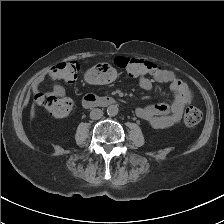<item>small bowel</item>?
Listing matches in <instances>:
<instances>
[{
  "label": "small bowel",
  "mask_w": 224,
  "mask_h": 224,
  "mask_svg": "<svg viewBox=\"0 0 224 224\" xmlns=\"http://www.w3.org/2000/svg\"><path fill=\"white\" fill-rule=\"evenodd\" d=\"M54 66L43 71L33 82L32 89L36 95L63 97L66 92L58 81L61 80L59 75L54 72ZM168 76V81H163L160 77H152L153 80L164 83L172 91L174 100L171 104L158 103L147 106H141L136 109V115L146 121L155 129H164L173 126L180 121L184 108L192 101V93L189 87L180 81L173 72L164 70ZM117 73L109 64L102 63L93 66L85 75L87 82L92 84H108L116 79ZM46 79L52 81V89L50 92L41 91V85ZM139 86L146 91L152 89V82L147 77H140Z\"/></svg>",
  "instance_id": "small-bowel-1"
}]
</instances>
